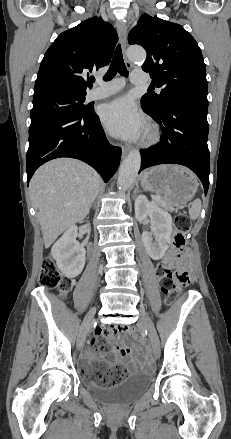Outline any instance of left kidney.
Segmentation results:
<instances>
[{"instance_id":"5707ae66","label":"left kidney","mask_w":231,"mask_h":439,"mask_svg":"<svg viewBox=\"0 0 231 439\" xmlns=\"http://www.w3.org/2000/svg\"><path fill=\"white\" fill-rule=\"evenodd\" d=\"M147 216L150 218L151 232H143L142 241L149 256L153 260H159L171 243L172 217L159 208L156 202H150L146 196L139 195L135 199V217L138 221H143Z\"/></svg>"}]
</instances>
